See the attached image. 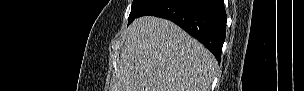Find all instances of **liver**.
Instances as JSON below:
<instances>
[{
    "mask_svg": "<svg viewBox=\"0 0 304 91\" xmlns=\"http://www.w3.org/2000/svg\"><path fill=\"white\" fill-rule=\"evenodd\" d=\"M217 61L171 21L137 18L128 27L111 91H209Z\"/></svg>",
    "mask_w": 304,
    "mask_h": 91,
    "instance_id": "6515ba94",
    "label": "liver"
}]
</instances>
